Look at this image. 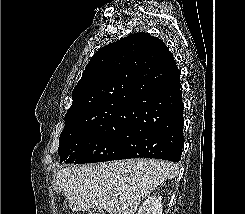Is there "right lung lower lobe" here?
I'll return each instance as SVG.
<instances>
[{
    "label": "right lung lower lobe",
    "instance_id": "right-lung-lower-lobe-1",
    "mask_svg": "<svg viewBox=\"0 0 245 214\" xmlns=\"http://www.w3.org/2000/svg\"><path fill=\"white\" fill-rule=\"evenodd\" d=\"M165 86L143 98L141 111L118 151L119 159L155 158L179 162L184 145L183 101L180 71L174 58L167 65Z\"/></svg>",
    "mask_w": 245,
    "mask_h": 214
}]
</instances>
